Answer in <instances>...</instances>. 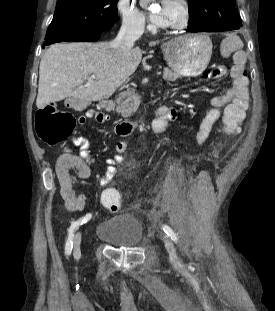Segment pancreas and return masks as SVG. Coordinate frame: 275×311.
Wrapping results in <instances>:
<instances>
[{
    "label": "pancreas",
    "instance_id": "pancreas-1",
    "mask_svg": "<svg viewBox=\"0 0 275 311\" xmlns=\"http://www.w3.org/2000/svg\"><path fill=\"white\" fill-rule=\"evenodd\" d=\"M180 77L179 74L171 71L168 68H164L163 79L169 82H174ZM116 106V112L123 117L131 116L138 108L139 99L133 89L121 92L116 98L114 104Z\"/></svg>",
    "mask_w": 275,
    "mask_h": 311
}]
</instances>
